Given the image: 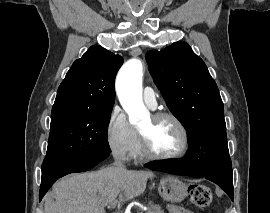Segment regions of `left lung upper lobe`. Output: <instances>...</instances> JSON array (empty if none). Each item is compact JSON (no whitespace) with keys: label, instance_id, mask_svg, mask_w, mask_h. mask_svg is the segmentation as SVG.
Wrapping results in <instances>:
<instances>
[{"label":"left lung upper lobe","instance_id":"1","mask_svg":"<svg viewBox=\"0 0 270 213\" xmlns=\"http://www.w3.org/2000/svg\"><path fill=\"white\" fill-rule=\"evenodd\" d=\"M146 60L168 108L187 129L203 174L232 171L223 102L202 59L179 41L147 52Z\"/></svg>","mask_w":270,"mask_h":213}]
</instances>
